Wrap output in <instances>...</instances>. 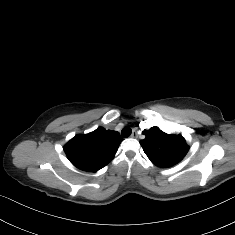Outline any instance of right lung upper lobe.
I'll return each instance as SVG.
<instances>
[{
  "mask_svg": "<svg viewBox=\"0 0 235 235\" xmlns=\"http://www.w3.org/2000/svg\"><path fill=\"white\" fill-rule=\"evenodd\" d=\"M121 141L119 132L99 127L91 133L76 135L64 146V151L77 168L96 172L114 158Z\"/></svg>",
  "mask_w": 235,
  "mask_h": 235,
  "instance_id": "obj_1",
  "label": "right lung upper lobe"
}]
</instances>
